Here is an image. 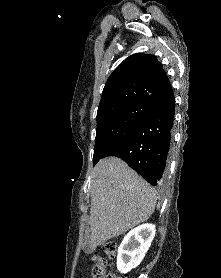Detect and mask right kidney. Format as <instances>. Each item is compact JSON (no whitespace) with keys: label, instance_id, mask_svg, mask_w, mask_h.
Masks as SVG:
<instances>
[{"label":"right kidney","instance_id":"ca27d5eb","mask_svg":"<svg viewBox=\"0 0 221 278\" xmlns=\"http://www.w3.org/2000/svg\"><path fill=\"white\" fill-rule=\"evenodd\" d=\"M155 232V225L143 224L124 237L117 255V269L120 273L126 274L141 263L151 246Z\"/></svg>","mask_w":221,"mask_h":278}]
</instances>
